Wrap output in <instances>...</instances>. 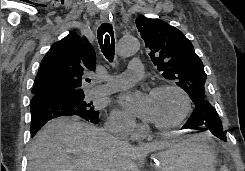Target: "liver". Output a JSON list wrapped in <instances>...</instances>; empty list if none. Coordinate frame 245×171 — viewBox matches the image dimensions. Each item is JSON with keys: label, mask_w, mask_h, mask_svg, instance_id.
Masks as SVG:
<instances>
[{"label": "liver", "mask_w": 245, "mask_h": 171, "mask_svg": "<svg viewBox=\"0 0 245 171\" xmlns=\"http://www.w3.org/2000/svg\"><path fill=\"white\" fill-rule=\"evenodd\" d=\"M170 136L134 147L77 118H58L35 136L27 171H139L147 154L173 143Z\"/></svg>", "instance_id": "liver-1"}]
</instances>
